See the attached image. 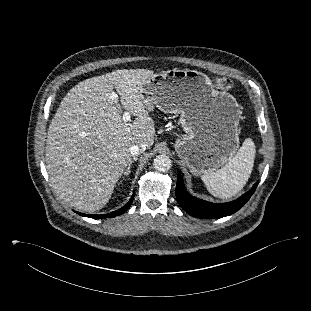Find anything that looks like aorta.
<instances>
[{"label":"aorta","instance_id":"1","mask_svg":"<svg viewBox=\"0 0 311 311\" xmlns=\"http://www.w3.org/2000/svg\"><path fill=\"white\" fill-rule=\"evenodd\" d=\"M153 166L159 172H166L171 168L172 162L167 155L162 154L155 157Z\"/></svg>","mask_w":311,"mask_h":311}]
</instances>
